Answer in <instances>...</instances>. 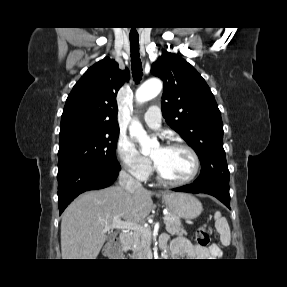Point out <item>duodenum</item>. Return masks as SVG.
Wrapping results in <instances>:
<instances>
[{
	"label": "duodenum",
	"mask_w": 287,
	"mask_h": 287,
	"mask_svg": "<svg viewBox=\"0 0 287 287\" xmlns=\"http://www.w3.org/2000/svg\"><path fill=\"white\" fill-rule=\"evenodd\" d=\"M120 242L124 248H126L131 242V234L128 231H124L120 234Z\"/></svg>",
	"instance_id": "1"
}]
</instances>
